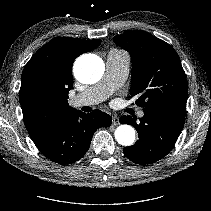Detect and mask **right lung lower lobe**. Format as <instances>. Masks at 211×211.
Segmentation results:
<instances>
[{
    "label": "right lung lower lobe",
    "instance_id": "98d812e1",
    "mask_svg": "<svg viewBox=\"0 0 211 211\" xmlns=\"http://www.w3.org/2000/svg\"><path fill=\"white\" fill-rule=\"evenodd\" d=\"M111 123V117L100 110L88 114L75 110L55 121L33 142L51 161L71 164L85 155L94 132L100 127H109Z\"/></svg>",
    "mask_w": 211,
    "mask_h": 211
}]
</instances>
